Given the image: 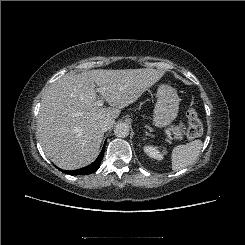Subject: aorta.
<instances>
[{
    "mask_svg": "<svg viewBox=\"0 0 245 245\" xmlns=\"http://www.w3.org/2000/svg\"><path fill=\"white\" fill-rule=\"evenodd\" d=\"M129 125L125 122L118 123L114 128L115 136L125 138L129 135Z\"/></svg>",
    "mask_w": 245,
    "mask_h": 245,
    "instance_id": "obj_1",
    "label": "aorta"
}]
</instances>
